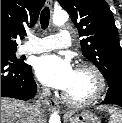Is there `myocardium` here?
I'll return each instance as SVG.
<instances>
[{"label":"myocardium","mask_w":122,"mask_h":123,"mask_svg":"<svg viewBox=\"0 0 122 123\" xmlns=\"http://www.w3.org/2000/svg\"><path fill=\"white\" fill-rule=\"evenodd\" d=\"M76 69L78 70L79 69H89L95 74L98 80L97 91L89 98L82 99V100L73 99L65 92L63 94V99L65 100L66 103H68L71 106H75V107L88 106L98 101L104 95L106 88H107V81H106V78L103 72L96 65L92 63H88V62L80 63L77 65Z\"/></svg>","instance_id":"1"}]
</instances>
